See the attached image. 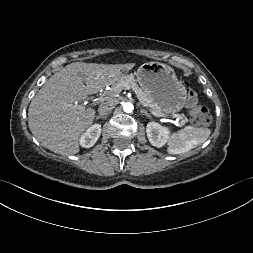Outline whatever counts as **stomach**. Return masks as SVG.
<instances>
[{
	"label": "stomach",
	"mask_w": 253,
	"mask_h": 253,
	"mask_svg": "<svg viewBox=\"0 0 253 253\" xmlns=\"http://www.w3.org/2000/svg\"><path fill=\"white\" fill-rule=\"evenodd\" d=\"M135 76L142 90L161 111L174 114L184 108L187 90L172 67L160 62H148L138 68Z\"/></svg>",
	"instance_id": "1"
}]
</instances>
